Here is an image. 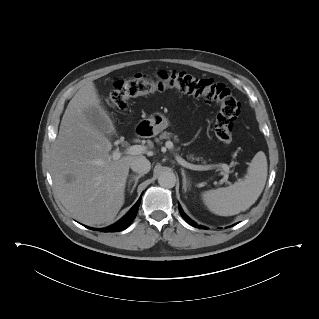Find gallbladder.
Returning a JSON list of instances; mask_svg holds the SVG:
<instances>
[{
  "label": "gallbladder",
  "instance_id": "1",
  "mask_svg": "<svg viewBox=\"0 0 319 319\" xmlns=\"http://www.w3.org/2000/svg\"><path fill=\"white\" fill-rule=\"evenodd\" d=\"M90 122L107 137H110L113 132L110 130V124L106 118L100 114L97 108H91L86 112Z\"/></svg>",
  "mask_w": 319,
  "mask_h": 319
}]
</instances>
